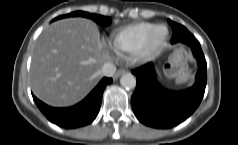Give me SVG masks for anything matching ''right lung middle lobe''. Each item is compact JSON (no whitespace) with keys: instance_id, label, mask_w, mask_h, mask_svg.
I'll use <instances>...</instances> for the list:
<instances>
[{"instance_id":"obj_1","label":"right lung middle lobe","mask_w":238,"mask_h":145,"mask_svg":"<svg viewBox=\"0 0 238 145\" xmlns=\"http://www.w3.org/2000/svg\"><path fill=\"white\" fill-rule=\"evenodd\" d=\"M71 16H82V17H86V18H91L92 20H94L95 22H97L99 25H102V26H107L112 21L110 17H105V16H101V15H97V14H90V13L83 12V11H75L70 14L61 15V16L56 17L53 21L61 19V18L71 17Z\"/></svg>"}]
</instances>
